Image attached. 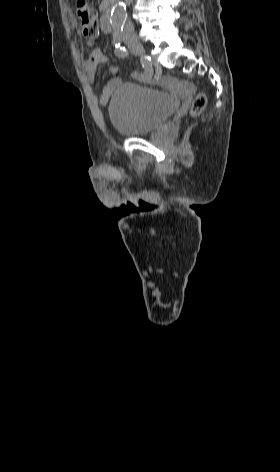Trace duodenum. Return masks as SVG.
Returning <instances> with one entry per match:
<instances>
[{"instance_id": "1", "label": "duodenum", "mask_w": 280, "mask_h": 472, "mask_svg": "<svg viewBox=\"0 0 280 472\" xmlns=\"http://www.w3.org/2000/svg\"><path fill=\"white\" fill-rule=\"evenodd\" d=\"M101 28L103 32L109 33L111 32L113 25L111 19V6L107 5L104 9L103 16L101 19Z\"/></svg>"}]
</instances>
